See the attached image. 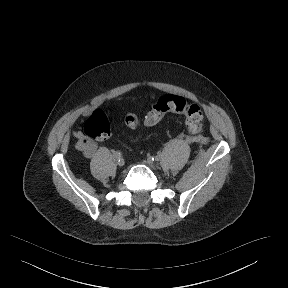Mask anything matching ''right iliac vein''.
<instances>
[{
	"instance_id": "1",
	"label": "right iliac vein",
	"mask_w": 288,
	"mask_h": 288,
	"mask_svg": "<svg viewBox=\"0 0 288 288\" xmlns=\"http://www.w3.org/2000/svg\"><path fill=\"white\" fill-rule=\"evenodd\" d=\"M115 161H116V164L118 165V166H123V164H124V162L122 161V160H120V159H114Z\"/></svg>"
}]
</instances>
